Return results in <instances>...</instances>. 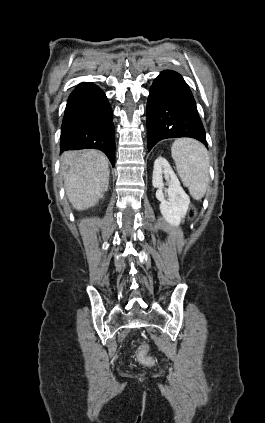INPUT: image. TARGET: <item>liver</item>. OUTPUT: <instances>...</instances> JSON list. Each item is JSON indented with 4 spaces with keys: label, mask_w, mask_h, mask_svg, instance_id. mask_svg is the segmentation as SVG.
I'll use <instances>...</instances> for the list:
<instances>
[{
    "label": "liver",
    "mask_w": 265,
    "mask_h": 423,
    "mask_svg": "<svg viewBox=\"0 0 265 423\" xmlns=\"http://www.w3.org/2000/svg\"><path fill=\"white\" fill-rule=\"evenodd\" d=\"M61 170L68 199L76 210L96 205L108 190L109 160L99 150L64 152Z\"/></svg>",
    "instance_id": "liver-1"
}]
</instances>
